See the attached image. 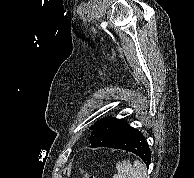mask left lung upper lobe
I'll return each instance as SVG.
<instances>
[{"instance_id":"left-lung-upper-lobe-1","label":"left lung upper lobe","mask_w":194,"mask_h":178,"mask_svg":"<svg viewBox=\"0 0 194 178\" xmlns=\"http://www.w3.org/2000/svg\"><path fill=\"white\" fill-rule=\"evenodd\" d=\"M97 123H98V122H96L94 125H92V126L90 127V129L93 130V129L95 128V126L97 125Z\"/></svg>"}]
</instances>
